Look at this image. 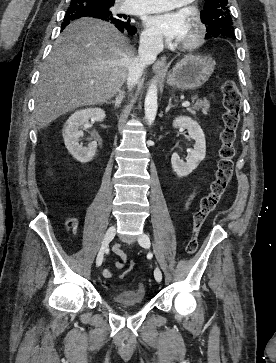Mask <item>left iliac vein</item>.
Returning a JSON list of instances; mask_svg holds the SVG:
<instances>
[{
	"label": "left iliac vein",
	"instance_id": "obj_1",
	"mask_svg": "<svg viewBox=\"0 0 276 363\" xmlns=\"http://www.w3.org/2000/svg\"><path fill=\"white\" fill-rule=\"evenodd\" d=\"M139 244L144 248H149L151 245L150 239L146 234H142L138 240ZM155 279L160 282L162 280V272L160 268H156L154 271Z\"/></svg>",
	"mask_w": 276,
	"mask_h": 363
}]
</instances>
